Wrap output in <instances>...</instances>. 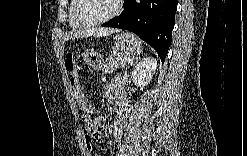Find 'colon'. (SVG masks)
I'll list each match as a JSON object with an SVG mask.
<instances>
[{
    "instance_id": "5ec220e1",
    "label": "colon",
    "mask_w": 247,
    "mask_h": 156,
    "mask_svg": "<svg viewBox=\"0 0 247 156\" xmlns=\"http://www.w3.org/2000/svg\"><path fill=\"white\" fill-rule=\"evenodd\" d=\"M101 107H89V113L84 117L82 125L84 126V133L91 139H96L100 135V129L97 127L99 116L98 112H101Z\"/></svg>"
}]
</instances>
